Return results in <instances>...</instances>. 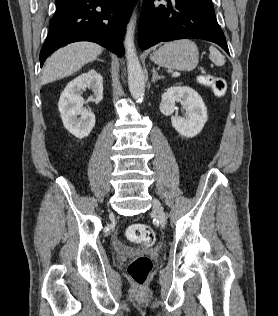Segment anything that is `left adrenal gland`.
<instances>
[{"instance_id": "1", "label": "left adrenal gland", "mask_w": 278, "mask_h": 316, "mask_svg": "<svg viewBox=\"0 0 278 316\" xmlns=\"http://www.w3.org/2000/svg\"><path fill=\"white\" fill-rule=\"evenodd\" d=\"M164 76H159L158 73L156 72L155 68H152V83H155V81H158L160 79H163Z\"/></svg>"}]
</instances>
